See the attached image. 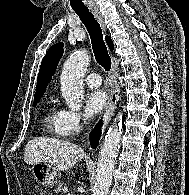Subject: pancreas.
Segmentation results:
<instances>
[{
  "mask_svg": "<svg viewBox=\"0 0 189 195\" xmlns=\"http://www.w3.org/2000/svg\"><path fill=\"white\" fill-rule=\"evenodd\" d=\"M63 187H64V183H59L55 188H54V192L57 195H63Z\"/></svg>",
  "mask_w": 189,
  "mask_h": 195,
  "instance_id": "obj_1",
  "label": "pancreas"
}]
</instances>
